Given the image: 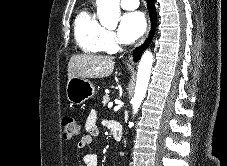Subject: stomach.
<instances>
[{"label": "stomach", "mask_w": 227, "mask_h": 166, "mask_svg": "<svg viewBox=\"0 0 227 166\" xmlns=\"http://www.w3.org/2000/svg\"><path fill=\"white\" fill-rule=\"evenodd\" d=\"M95 95L94 85L87 79L72 77L66 85L67 99L76 105L84 103Z\"/></svg>", "instance_id": "obj_1"}]
</instances>
